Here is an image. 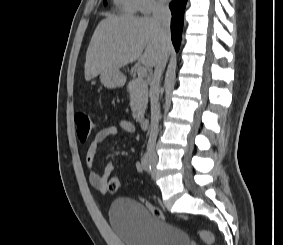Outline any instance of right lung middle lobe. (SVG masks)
I'll use <instances>...</instances> for the list:
<instances>
[{
    "label": "right lung middle lobe",
    "instance_id": "dd1d6c3e",
    "mask_svg": "<svg viewBox=\"0 0 283 245\" xmlns=\"http://www.w3.org/2000/svg\"><path fill=\"white\" fill-rule=\"evenodd\" d=\"M103 2H104V4L106 5L107 0H104Z\"/></svg>",
    "mask_w": 283,
    "mask_h": 245
}]
</instances>
